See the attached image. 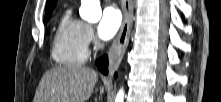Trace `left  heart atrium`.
<instances>
[{
  "instance_id": "obj_1",
  "label": "left heart atrium",
  "mask_w": 221,
  "mask_h": 102,
  "mask_svg": "<svg viewBox=\"0 0 221 102\" xmlns=\"http://www.w3.org/2000/svg\"><path fill=\"white\" fill-rule=\"evenodd\" d=\"M122 25V14L116 6L106 7L98 25V35L102 40L111 39Z\"/></svg>"
}]
</instances>
